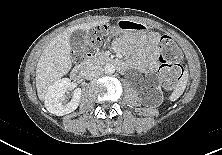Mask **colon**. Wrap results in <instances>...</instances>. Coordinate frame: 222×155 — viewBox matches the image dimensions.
Returning <instances> with one entry per match:
<instances>
[{
	"instance_id": "obj_1",
	"label": "colon",
	"mask_w": 222,
	"mask_h": 155,
	"mask_svg": "<svg viewBox=\"0 0 222 155\" xmlns=\"http://www.w3.org/2000/svg\"><path fill=\"white\" fill-rule=\"evenodd\" d=\"M106 30V27L91 30L87 36L88 43L91 46L100 44ZM159 48L162 52L161 66L159 68L160 80L165 89L172 90L183 75V67L174 62L179 57V50L171 37L167 35L159 37ZM80 57L81 53L74 52L75 60L80 59Z\"/></svg>"
}]
</instances>
